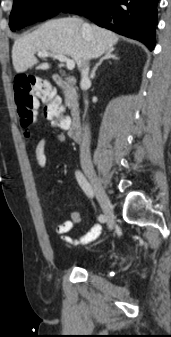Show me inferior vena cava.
I'll return each instance as SVG.
<instances>
[{
	"label": "inferior vena cava",
	"mask_w": 171,
	"mask_h": 337,
	"mask_svg": "<svg viewBox=\"0 0 171 337\" xmlns=\"http://www.w3.org/2000/svg\"><path fill=\"white\" fill-rule=\"evenodd\" d=\"M83 29L87 30L89 29L88 24L83 25ZM81 86H89L91 84V81L89 79V62L86 61V63L83 65V68L81 70ZM85 104L88 105L87 99L84 100ZM80 160L83 163H91V156H90V129L88 125H85L84 127V133H83V139L80 144Z\"/></svg>",
	"instance_id": "602c4592"
}]
</instances>
